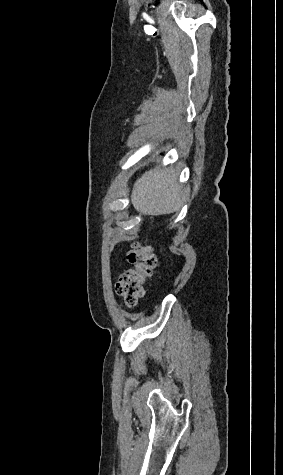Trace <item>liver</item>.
<instances>
[{
    "mask_svg": "<svg viewBox=\"0 0 283 475\" xmlns=\"http://www.w3.org/2000/svg\"><path fill=\"white\" fill-rule=\"evenodd\" d=\"M172 168H155L138 178L132 190V204L145 216L173 214L181 206L180 186Z\"/></svg>",
    "mask_w": 283,
    "mask_h": 475,
    "instance_id": "liver-1",
    "label": "liver"
}]
</instances>
